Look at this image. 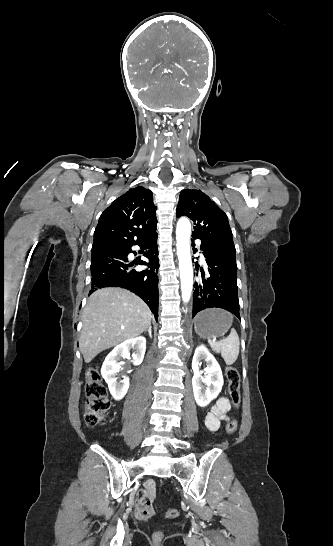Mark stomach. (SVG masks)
I'll use <instances>...</instances> for the list:
<instances>
[{
	"label": "stomach",
	"instance_id": "0dacf381",
	"mask_svg": "<svg viewBox=\"0 0 333 546\" xmlns=\"http://www.w3.org/2000/svg\"><path fill=\"white\" fill-rule=\"evenodd\" d=\"M233 319L220 309H207L199 313L194 320L197 335L203 339L224 336L231 327Z\"/></svg>",
	"mask_w": 333,
	"mask_h": 546
}]
</instances>
